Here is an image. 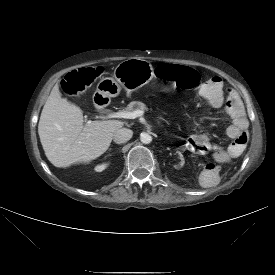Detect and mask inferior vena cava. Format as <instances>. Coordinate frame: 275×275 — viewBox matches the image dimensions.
<instances>
[{"label":"inferior vena cava","mask_w":275,"mask_h":275,"mask_svg":"<svg viewBox=\"0 0 275 275\" xmlns=\"http://www.w3.org/2000/svg\"><path fill=\"white\" fill-rule=\"evenodd\" d=\"M133 135L132 130L127 128H120L113 134V140L117 144H122L131 139Z\"/></svg>","instance_id":"1"}]
</instances>
